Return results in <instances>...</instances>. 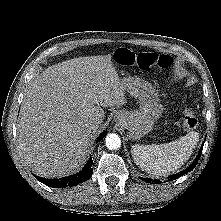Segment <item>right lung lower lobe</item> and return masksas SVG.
Returning <instances> with one entry per match:
<instances>
[{
	"label": "right lung lower lobe",
	"instance_id": "right-lung-lower-lobe-1",
	"mask_svg": "<svg viewBox=\"0 0 221 221\" xmlns=\"http://www.w3.org/2000/svg\"><path fill=\"white\" fill-rule=\"evenodd\" d=\"M107 134V132H103L99 138L97 139V142L102 140L104 136ZM92 166V158L89 159L87 164L84 166L82 171L75 175H71L68 177H63L60 179H44L38 176H35L38 181L42 182L43 184L49 186V187H56V188H64L67 186H75L79 183H82L86 180H88L91 177L93 169L91 168Z\"/></svg>",
	"mask_w": 221,
	"mask_h": 221
}]
</instances>
